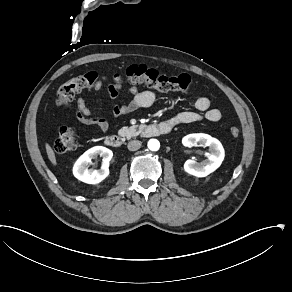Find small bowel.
<instances>
[{
    "instance_id": "1",
    "label": "small bowel",
    "mask_w": 292,
    "mask_h": 292,
    "mask_svg": "<svg viewBox=\"0 0 292 292\" xmlns=\"http://www.w3.org/2000/svg\"><path fill=\"white\" fill-rule=\"evenodd\" d=\"M103 83L97 82L93 86V91L99 95L102 91ZM129 99L124 103H117L118 91L114 88L108 89V97L112 102V112L116 116H123L133 113L139 109L148 108L156 101V94L149 90H139L132 86L129 91ZM194 106L196 111H183L176 113L162 122H168L172 127L201 121L203 119L209 122H218L222 118V112L218 108L211 107L209 98L205 96H194ZM75 115L77 120L85 125H94L102 133L109 131V122L107 118L99 111L91 110L86 100L79 96L75 103Z\"/></svg>"
}]
</instances>
